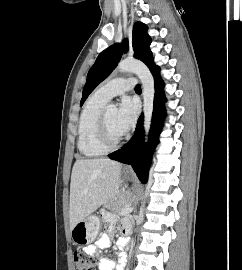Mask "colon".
<instances>
[{
  "mask_svg": "<svg viewBox=\"0 0 242 270\" xmlns=\"http://www.w3.org/2000/svg\"><path fill=\"white\" fill-rule=\"evenodd\" d=\"M74 269L75 270H94V260L91 255L82 252L74 253Z\"/></svg>",
  "mask_w": 242,
  "mask_h": 270,
  "instance_id": "obj_1",
  "label": "colon"
}]
</instances>
